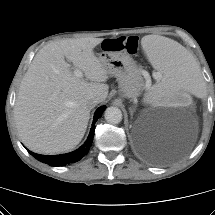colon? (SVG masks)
Wrapping results in <instances>:
<instances>
[{
  "mask_svg": "<svg viewBox=\"0 0 215 215\" xmlns=\"http://www.w3.org/2000/svg\"><path fill=\"white\" fill-rule=\"evenodd\" d=\"M101 47L105 51H120L130 55H135L139 49L138 37L129 35L115 39L105 38L101 42Z\"/></svg>",
  "mask_w": 215,
  "mask_h": 215,
  "instance_id": "5ec220e1",
  "label": "colon"
}]
</instances>
